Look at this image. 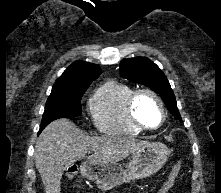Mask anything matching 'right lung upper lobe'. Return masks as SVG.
<instances>
[{"instance_id": "right-lung-upper-lobe-1", "label": "right lung upper lobe", "mask_w": 221, "mask_h": 193, "mask_svg": "<svg viewBox=\"0 0 221 193\" xmlns=\"http://www.w3.org/2000/svg\"><path fill=\"white\" fill-rule=\"evenodd\" d=\"M100 74L101 69L98 65L75 61L56 80L52 90L90 85Z\"/></svg>"}]
</instances>
